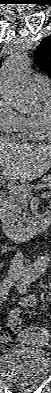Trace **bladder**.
<instances>
[{"mask_svg": "<svg viewBox=\"0 0 51 393\" xmlns=\"http://www.w3.org/2000/svg\"><path fill=\"white\" fill-rule=\"evenodd\" d=\"M2 367L10 381L21 384L36 383L51 372L48 354L35 348H18L6 353Z\"/></svg>", "mask_w": 51, "mask_h": 393, "instance_id": "obj_1", "label": "bladder"}]
</instances>
